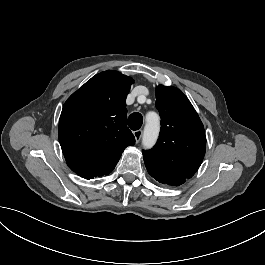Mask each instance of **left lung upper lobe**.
<instances>
[{
  "instance_id": "5c2ea615",
  "label": "left lung upper lobe",
  "mask_w": 265,
  "mask_h": 265,
  "mask_svg": "<svg viewBox=\"0 0 265 265\" xmlns=\"http://www.w3.org/2000/svg\"><path fill=\"white\" fill-rule=\"evenodd\" d=\"M161 131L156 145L143 151L148 173L157 181L179 186L200 167L206 149L204 126L188 98L177 88L156 87Z\"/></svg>"
}]
</instances>
